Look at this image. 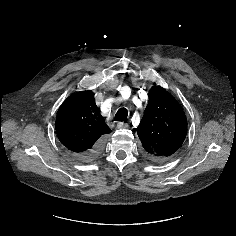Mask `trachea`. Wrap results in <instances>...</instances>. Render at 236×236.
<instances>
[{
  "instance_id": "trachea-1",
  "label": "trachea",
  "mask_w": 236,
  "mask_h": 236,
  "mask_svg": "<svg viewBox=\"0 0 236 236\" xmlns=\"http://www.w3.org/2000/svg\"><path fill=\"white\" fill-rule=\"evenodd\" d=\"M128 116V111L126 108H120L116 115H115V121H125V119Z\"/></svg>"
}]
</instances>
